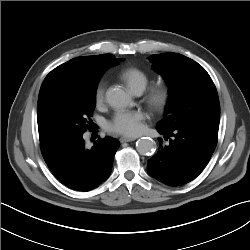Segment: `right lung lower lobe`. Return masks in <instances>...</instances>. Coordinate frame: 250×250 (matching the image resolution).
Returning <instances> with one entry per match:
<instances>
[{
	"label": "right lung lower lobe",
	"instance_id": "1",
	"mask_svg": "<svg viewBox=\"0 0 250 250\" xmlns=\"http://www.w3.org/2000/svg\"><path fill=\"white\" fill-rule=\"evenodd\" d=\"M119 146L117 139L106 136L88 148L83 133L40 140L43 158L54 176L78 191L92 190L109 177Z\"/></svg>",
	"mask_w": 250,
	"mask_h": 250
}]
</instances>
